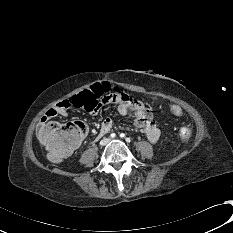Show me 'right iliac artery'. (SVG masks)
<instances>
[{
    "instance_id": "82829eb1",
    "label": "right iliac artery",
    "mask_w": 233,
    "mask_h": 233,
    "mask_svg": "<svg viewBox=\"0 0 233 233\" xmlns=\"http://www.w3.org/2000/svg\"><path fill=\"white\" fill-rule=\"evenodd\" d=\"M115 136H116L115 133H112V134L110 135L111 138H114Z\"/></svg>"
}]
</instances>
